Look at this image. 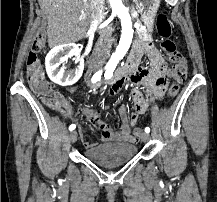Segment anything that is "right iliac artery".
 Wrapping results in <instances>:
<instances>
[{
    "mask_svg": "<svg viewBox=\"0 0 217 202\" xmlns=\"http://www.w3.org/2000/svg\"><path fill=\"white\" fill-rule=\"evenodd\" d=\"M101 75H102V70L96 72V73L93 75V77H92V79H91V82H92V83H96L97 81H99L100 78H101ZM75 128H76V125H75V124H71V125L69 126V130H70V131H73Z\"/></svg>",
    "mask_w": 217,
    "mask_h": 202,
    "instance_id": "obj_1",
    "label": "right iliac artery"
}]
</instances>
